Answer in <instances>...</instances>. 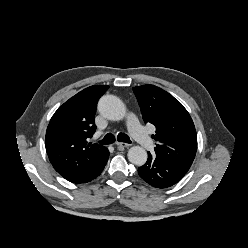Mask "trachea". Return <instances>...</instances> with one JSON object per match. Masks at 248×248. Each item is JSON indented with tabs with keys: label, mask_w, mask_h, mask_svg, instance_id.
<instances>
[{
	"label": "trachea",
	"mask_w": 248,
	"mask_h": 248,
	"mask_svg": "<svg viewBox=\"0 0 248 248\" xmlns=\"http://www.w3.org/2000/svg\"><path fill=\"white\" fill-rule=\"evenodd\" d=\"M117 140L119 142L131 143L129 136L124 134V133H119L117 135ZM114 142H115V137L111 133L106 134L105 137L100 141V143L103 145H109V144H112Z\"/></svg>",
	"instance_id": "1"
}]
</instances>
